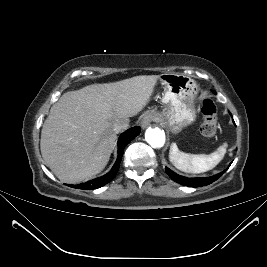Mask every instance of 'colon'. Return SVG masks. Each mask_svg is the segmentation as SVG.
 Segmentation results:
<instances>
[{"label": "colon", "mask_w": 267, "mask_h": 267, "mask_svg": "<svg viewBox=\"0 0 267 267\" xmlns=\"http://www.w3.org/2000/svg\"><path fill=\"white\" fill-rule=\"evenodd\" d=\"M203 123L200 127L201 135L207 139H213L218 131L217 113L218 108L212 100H205L202 104Z\"/></svg>", "instance_id": "obj_1"}]
</instances>
